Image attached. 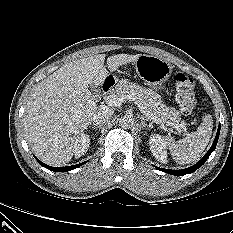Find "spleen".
Masks as SVG:
<instances>
[{"mask_svg":"<svg viewBox=\"0 0 233 233\" xmlns=\"http://www.w3.org/2000/svg\"><path fill=\"white\" fill-rule=\"evenodd\" d=\"M213 129V120L210 114L205 115L197 131L188 134L185 138L175 141L165 137L164 143L169 148L173 159L181 165L197 160L208 145Z\"/></svg>","mask_w":233,"mask_h":233,"instance_id":"obj_1","label":"spleen"}]
</instances>
